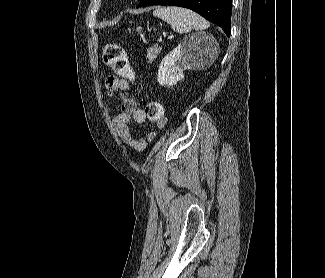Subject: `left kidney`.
<instances>
[{"mask_svg": "<svg viewBox=\"0 0 325 278\" xmlns=\"http://www.w3.org/2000/svg\"><path fill=\"white\" fill-rule=\"evenodd\" d=\"M198 44L188 39L183 40L166 55L158 69L157 80L161 86H173L184 78V71L192 69L193 59L199 56Z\"/></svg>", "mask_w": 325, "mask_h": 278, "instance_id": "1", "label": "left kidney"}]
</instances>
